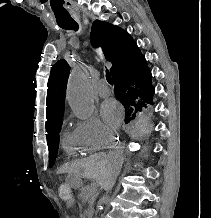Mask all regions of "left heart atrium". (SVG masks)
<instances>
[{
  "label": "left heart atrium",
  "mask_w": 211,
  "mask_h": 218,
  "mask_svg": "<svg viewBox=\"0 0 211 218\" xmlns=\"http://www.w3.org/2000/svg\"><path fill=\"white\" fill-rule=\"evenodd\" d=\"M101 114L104 120L112 127L115 128L121 120V111L113 99L106 100L101 108Z\"/></svg>",
  "instance_id": "1"
}]
</instances>
